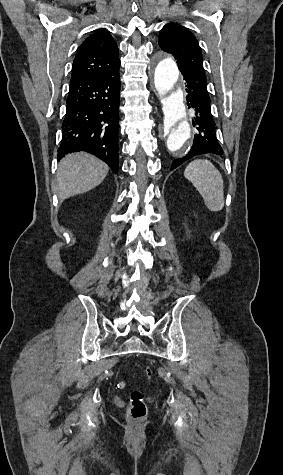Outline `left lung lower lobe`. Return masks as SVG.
Masks as SVG:
<instances>
[{"instance_id":"obj_1","label":"left lung lower lobe","mask_w":283,"mask_h":475,"mask_svg":"<svg viewBox=\"0 0 283 475\" xmlns=\"http://www.w3.org/2000/svg\"><path fill=\"white\" fill-rule=\"evenodd\" d=\"M186 80V100L188 107L193 110V125L196 129L193 145L188 154L173 161L171 170L194 156L206 153L222 155L223 149L216 137V123L210 109V97L206 89V75L204 71L182 68L180 69Z\"/></svg>"}]
</instances>
